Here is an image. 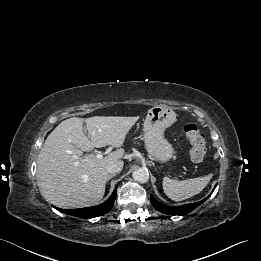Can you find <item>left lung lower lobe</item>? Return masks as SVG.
<instances>
[{
  "mask_svg": "<svg viewBox=\"0 0 261 261\" xmlns=\"http://www.w3.org/2000/svg\"><path fill=\"white\" fill-rule=\"evenodd\" d=\"M216 187V186H215ZM209 198V196L205 199H203L200 202L191 203V204H185L182 206L172 207L165 204H162L158 201H156L153 196L151 195L150 201L152 205L160 212L170 215H185L193 211L197 206H199L201 203L206 201Z\"/></svg>",
  "mask_w": 261,
  "mask_h": 261,
  "instance_id": "1",
  "label": "left lung lower lobe"
}]
</instances>
